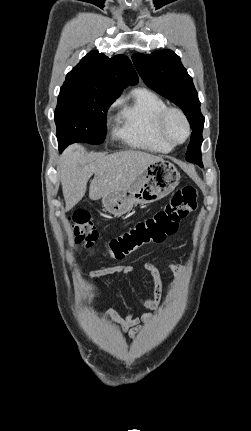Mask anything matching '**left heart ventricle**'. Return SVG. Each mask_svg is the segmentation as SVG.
<instances>
[{
	"label": "left heart ventricle",
	"instance_id": "1",
	"mask_svg": "<svg viewBox=\"0 0 251 431\" xmlns=\"http://www.w3.org/2000/svg\"><path fill=\"white\" fill-rule=\"evenodd\" d=\"M166 131L173 141L180 142L184 140L186 136V127L178 114L172 113L169 115L166 122Z\"/></svg>",
	"mask_w": 251,
	"mask_h": 431
}]
</instances>
